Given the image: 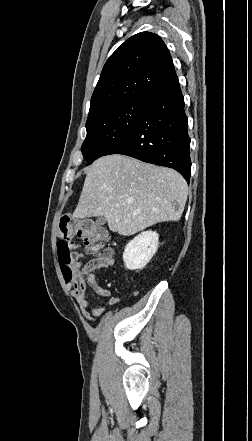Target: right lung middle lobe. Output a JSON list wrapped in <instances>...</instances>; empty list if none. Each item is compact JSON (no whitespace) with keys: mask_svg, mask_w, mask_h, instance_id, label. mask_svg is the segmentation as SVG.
<instances>
[{"mask_svg":"<svg viewBox=\"0 0 252 441\" xmlns=\"http://www.w3.org/2000/svg\"><path fill=\"white\" fill-rule=\"evenodd\" d=\"M144 109L142 98L105 108L88 117L87 136L82 154L92 164L94 160L122 140L136 125Z\"/></svg>","mask_w":252,"mask_h":441,"instance_id":"dd1d6c3e","label":"right lung middle lobe"}]
</instances>
